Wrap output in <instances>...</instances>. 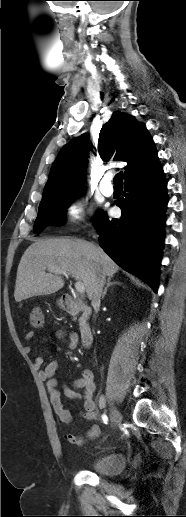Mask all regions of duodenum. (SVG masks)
<instances>
[{
    "label": "duodenum",
    "mask_w": 186,
    "mask_h": 517,
    "mask_svg": "<svg viewBox=\"0 0 186 517\" xmlns=\"http://www.w3.org/2000/svg\"><path fill=\"white\" fill-rule=\"evenodd\" d=\"M62 303L65 312L69 314H80L79 332L84 347H89L93 340V333L89 324L92 314V307L74 300L69 294L62 296Z\"/></svg>",
    "instance_id": "obj_1"
}]
</instances>
